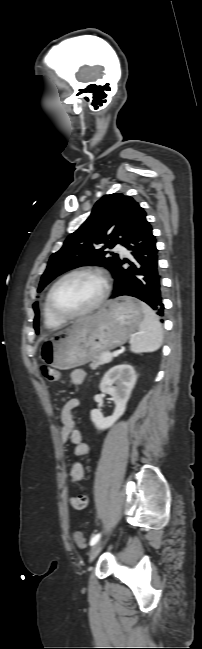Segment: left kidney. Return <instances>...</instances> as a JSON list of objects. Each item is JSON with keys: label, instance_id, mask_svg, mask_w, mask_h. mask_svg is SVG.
<instances>
[{"label": "left kidney", "instance_id": "5707ae66", "mask_svg": "<svg viewBox=\"0 0 202 649\" xmlns=\"http://www.w3.org/2000/svg\"><path fill=\"white\" fill-rule=\"evenodd\" d=\"M136 380L135 370L128 364L115 366L104 375L100 390L112 396L115 409L108 417H104L98 409L91 411V421L98 430L108 429L124 414Z\"/></svg>", "mask_w": 202, "mask_h": 649}]
</instances>
